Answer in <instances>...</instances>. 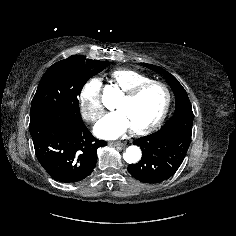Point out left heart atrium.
<instances>
[{"mask_svg": "<svg viewBox=\"0 0 236 236\" xmlns=\"http://www.w3.org/2000/svg\"><path fill=\"white\" fill-rule=\"evenodd\" d=\"M131 128L122 111H114L105 115L94 127V133L103 139H116Z\"/></svg>", "mask_w": 236, "mask_h": 236, "instance_id": "39dd6f15", "label": "left heart atrium"}]
</instances>
